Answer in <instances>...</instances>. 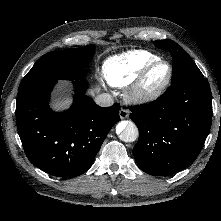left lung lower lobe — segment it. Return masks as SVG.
Returning a JSON list of instances; mask_svg holds the SVG:
<instances>
[{"label":"left lung lower lobe","instance_id":"0a47b994","mask_svg":"<svg viewBox=\"0 0 221 221\" xmlns=\"http://www.w3.org/2000/svg\"><path fill=\"white\" fill-rule=\"evenodd\" d=\"M130 110L139 129L133 149L138 167L167 176L199 155L211 128V90L206 79H187L172 84L157 100Z\"/></svg>","mask_w":221,"mask_h":221}]
</instances>
